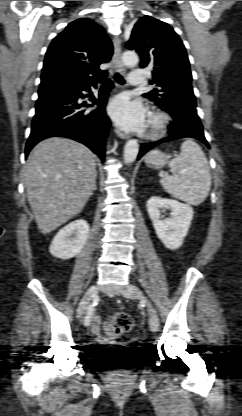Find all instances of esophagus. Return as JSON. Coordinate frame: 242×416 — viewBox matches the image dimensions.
<instances>
[{"instance_id": "obj_1", "label": "esophagus", "mask_w": 242, "mask_h": 416, "mask_svg": "<svg viewBox=\"0 0 242 416\" xmlns=\"http://www.w3.org/2000/svg\"><path fill=\"white\" fill-rule=\"evenodd\" d=\"M113 45H114V54H113V63L118 72L124 73L125 68L121 60V41L118 36L113 37ZM116 134L124 140L129 138V135L123 133L119 129L115 130Z\"/></svg>"}]
</instances>
